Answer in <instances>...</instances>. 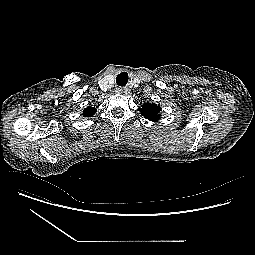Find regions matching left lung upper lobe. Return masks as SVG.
I'll use <instances>...</instances> for the list:
<instances>
[{
	"instance_id": "left-lung-upper-lobe-1",
	"label": "left lung upper lobe",
	"mask_w": 255,
	"mask_h": 255,
	"mask_svg": "<svg viewBox=\"0 0 255 255\" xmlns=\"http://www.w3.org/2000/svg\"><path fill=\"white\" fill-rule=\"evenodd\" d=\"M142 116L151 121H156L160 118L161 108L155 103H144L141 108H139Z\"/></svg>"
}]
</instances>
